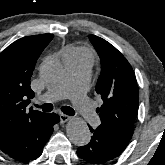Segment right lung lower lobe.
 Wrapping results in <instances>:
<instances>
[{
	"label": "right lung lower lobe",
	"mask_w": 165,
	"mask_h": 165,
	"mask_svg": "<svg viewBox=\"0 0 165 165\" xmlns=\"http://www.w3.org/2000/svg\"><path fill=\"white\" fill-rule=\"evenodd\" d=\"M60 118L57 114H45L32 123L13 131L7 138L0 141V149L18 161L36 159L43 152L49 140L53 125Z\"/></svg>",
	"instance_id": "1"
}]
</instances>
